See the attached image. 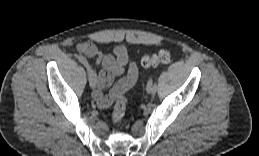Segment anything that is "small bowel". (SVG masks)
<instances>
[{
  "instance_id": "small-bowel-1",
  "label": "small bowel",
  "mask_w": 259,
  "mask_h": 156,
  "mask_svg": "<svg viewBox=\"0 0 259 156\" xmlns=\"http://www.w3.org/2000/svg\"><path fill=\"white\" fill-rule=\"evenodd\" d=\"M77 51L89 58H95L96 63L102 67L99 72L97 89L93 93V97L99 107H109L119 94L124 93L136 82L138 70L134 63H129L127 49L124 46H117L115 48L114 54L116 58L110 53L100 51L91 42L79 43L77 45ZM126 68V77L117 82L108 95H104L102 90L109 87L114 77L121 75Z\"/></svg>"
}]
</instances>
